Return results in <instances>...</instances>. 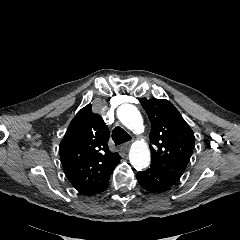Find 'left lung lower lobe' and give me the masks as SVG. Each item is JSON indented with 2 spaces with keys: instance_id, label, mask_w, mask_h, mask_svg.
<instances>
[{
  "instance_id": "obj_1",
  "label": "left lung lower lobe",
  "mask_w": 240,
  "mask_h": 240,
  "mask_svg": "<svg viewBox=\"0 0 240 240\" xmlns=\"http://www.w3.org/2000/svg\"><path fill=\"white\" fill-rule=\"evenodd\" d=\"M136 176L141 187L151 193L168 191L178 182L155 166H151L147 171L138 172Z\"/></svg>"
}]
</instances>
